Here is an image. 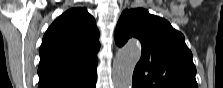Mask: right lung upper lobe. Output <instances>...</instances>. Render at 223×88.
<instances>
[{"mask_svg":"<svg viewBox=\"0 0 223 88\" xmlns=\"http://www.w3.org/2000/svg\"><path fill=\"white\" fill-rule=\"evenodd\" d=\"M99 31L85 8H72L46 31L40 47L39 88H88L97 78Z\"/></svg>","mask_w":223,"mask_h":88,"instance_id":"right-lung-upper-lobe-1","label":"right lung upper lobe"}]
</instances>
